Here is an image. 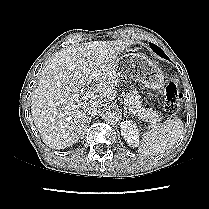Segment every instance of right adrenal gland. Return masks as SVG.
<instances>
[{"mask_svg": "<svg viewBox=\"0 0 209 209\" xmlns=\"http://www.w3.org/2000/svg\"><path fill=\"white\" fill-rule=\"evenodd\" d=\"M92 117H93V116H92ZM92 117H88V118H87V124L84 126L83 131H85L86 128L89 126V123L91 122ZM83 131H82V132H83Z\"/></svg>", "mask_w": 209, "mask_h": 209, "instance_id": "obj_1", "label": "right adrenal gland"}]
</instances>
